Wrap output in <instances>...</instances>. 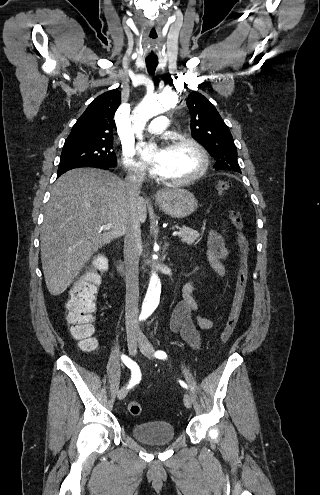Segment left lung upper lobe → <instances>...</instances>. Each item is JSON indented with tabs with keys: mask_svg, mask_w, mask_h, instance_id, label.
Returning a JSON list of instances; mask_svg holds the SVG:
<instances>
[{
	"mask_svg": "<svg viewBox=\"0 0 320 495\" xmlns=\"http://www.w3.org/2000/svg\"><path fill=\"white\" fill-rule=\"evenodd\" d=\"M186 104L191 116V134L215 157L214 168L241 173L233 137L214 105L198 92H192Z\"/></svg>",
	"mask_w": 320,
	"mask_h": 495,
	"instance_id": "5c2ea615",
	"label": "left lung upper lobe"
}]
</instances>
